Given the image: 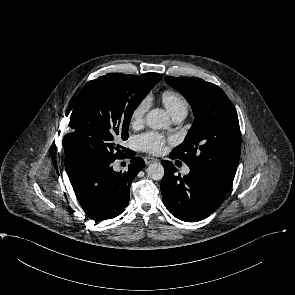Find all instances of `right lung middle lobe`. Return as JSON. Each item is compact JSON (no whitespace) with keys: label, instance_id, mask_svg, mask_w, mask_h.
<instances>
[{"label":"right lung middle lobe","instance_id":"dd1d6c3e","mask_svg":"<svg viewBox=\"0 0 295 295\" xmlns=\"http://www.w3.org/2000/svg\"><path fill=\"white\" fill-rule=\"evenodd\" d=\"M150 73L139 76L107 74L91 80L81 89L71 109V133L63 138L65 167L88 158H121L128 149L134 110L154 87Z\"/></svg>","mask_w":295,"mask_h":295}]
</instances>
